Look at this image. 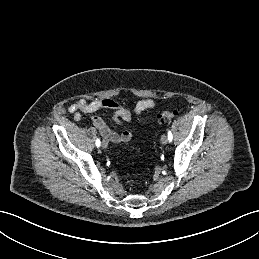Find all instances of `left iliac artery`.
Segmentation results:
<instances>
[{
	"mask_svg": "<svg viewBox=\"0 0 259 259\" xmlns=\"http://www.w3.org/2000/svg\"><path fill=\"white\" fill-rule=\"evenodd\" d=\"M167 137H168L169 142H171V141H172V139H173V136H172V133H171V131H170V130H168Z\"/></svg>",
	"mask_w": 259,
	"mask_h": 259,
	"instance_id": "obj_1",
	"label": "left iliac artery"
}]
</instances>
